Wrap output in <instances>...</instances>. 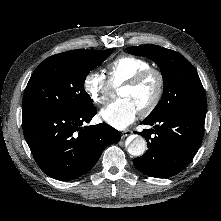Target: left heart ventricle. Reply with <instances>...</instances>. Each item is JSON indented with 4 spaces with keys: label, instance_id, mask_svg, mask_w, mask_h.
<instances>
[{
    "label": "left heart ventricle",
    "instance_id": "obj_1",
    "mask_svg": "<svg viewBox=\"0 0 221 221\" xmlns=\"http://www.w3.org/2000/svg\"><path fill=\"white\" fill-rule=\"evenodd\" d=\"M156 89L157 79L155 76H150L138 86L120 87L118 95L133 101L138 110H140L153 99Z\"/></svg>",
    "mask_w": 221,
    "mask_h": 221
}]
</instances>
